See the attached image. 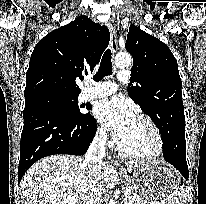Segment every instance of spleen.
<instances>
[{"instance_id":"3e777b00","label":"spleen","mask_w":206,"mask_h":204,"mask_svg":"<svg viewBox=\"0 0 206 204\" xmlns=\"http://www.w3.org/2000/svg\"><path fill=\"white\" fill-rule=\"evenodd\" d=\"M185 197V190L181 187L176 191L171 192L166 200L168 201V204H183Z\"/></svg>"}]
</instances>
